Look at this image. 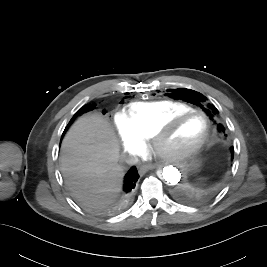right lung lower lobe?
Masks as SVG:
<instances>
[{
  "mask_svg": "<svg viewBox=\"0 0 267 267\" xmlns=\"http://www.w3.org/2000/svg\"><path fill=\"white\" fill-rule=\"evenodd\" d=\"M92 106H94V104L92 105H86L84 106V108L79 111L70 121V123L67 125L65 131L67 130V128L69 127V125L72 123V121L80 114L82 113H85V112H88V111H91L89 110ZM64 131V132H65ZM139 178V174H138V171L136 169L135 166H132L130 168V170L127 172V174L125 175V178H124V187H123V191L125 194H129L136 186V182Z\"/></svg>",
  "mask_w": 267,
  "mask_h": 267,
  "instance_id": "1",
  "label": "right lung lower lobe"
}]
</instances>
